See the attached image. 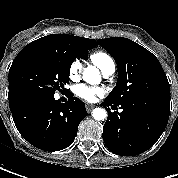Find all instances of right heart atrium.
Here are the masks:
<instances>
[{"mask_svg": "<svg viewBox=\"0 0 178 178\" xmlns=\"http://www.w3.org/2000/svg\"><path fill=\"white\" fill-rule=\"evenodd\" d=\"M82 64L79 60H74L69 66V77L72 80H76L81 72Z\"/></svg>", "mask_w": 178, "mask_h": 178, "instance_id": "d8ad5b80", "label": "right heart atrium"}]
</instances>
